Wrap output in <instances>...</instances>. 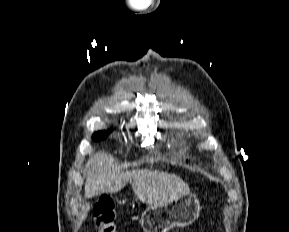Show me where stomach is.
<instances>
[{"instance_id":"1","label":"stomach","mask_w":289,"mask_h":232,"mask_svg":"<svg viewBox=\"0 0 289 232\" xmlns=\"http://www.w3.org/2000/svg\"><path fill=\"white\" fill-rule=\"evenodd\" d=\"M197 197L188 193L165 204L150 205L141 216V226L145 232H168L173 227L191 224L200 212Z\"/></svg>"}]
</instances>
